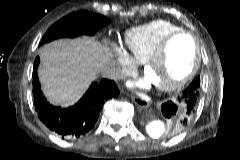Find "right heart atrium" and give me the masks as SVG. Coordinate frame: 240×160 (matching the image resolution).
Segmentation results:
<instances>
[{
  "label": "right heart atrium",
  "mask_w": 240,
  "mask_h": 160,
  "mask_svg": "<svg viewBox=\"0 0 240 160\" xmlns=\"http://www.w3.org/2000/svg\"><path fill=\"white\" fill-rule=\"evenodd\" d=\"M115 59L112 68V74L118 76L121 72L131 69L135 66L133 59L121 48H114Z\"/></svg>",
  "instance_id": "d8ad5b80"
}]
</instances>
